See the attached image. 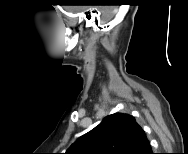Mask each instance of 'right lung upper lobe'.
Here are the masks:
<instances>
[{
  "mask_svg": "<svg viewBox=\"0 0 188 154\" xmlns=\"http://www.w3.org/2000/svg\"><path fill=\"white\" fill-rule=\"evenodd\" d=\"M144 130L129 114L114 113L77 139L65 154H148Z\"/></svg>",
  "mask_w": 188,
  "mask_h": 154,
  "instance_id": "cb5924a9",
  "label": "right lung upper lobe"
}]
</instances>
